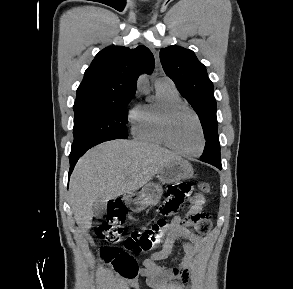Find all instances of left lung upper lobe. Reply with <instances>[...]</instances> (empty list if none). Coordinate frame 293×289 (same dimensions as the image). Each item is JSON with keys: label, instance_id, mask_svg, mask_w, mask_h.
Masks as SVG:
<instances>
[{"label": "left lung upper lobe", "instance_id": "obj_1", "mask_svg": "<svg viewBox=\"0 0 293 289\" xmlns=\"http://www.w3.org/2000/svg\"><path fill=\"white\" fill-rule=\"evenodd\" d=\"M160 60L166 75L174 81L180 94L197 113L205 139L218 135L216 99L206 67L198 61L193 51L179 46L162 48ZM202 158L210 164L221 163L220 143L212 151L204 153Z\"/></svg>", "mask_w": 293, "mask_h": 289}]
</instances>
